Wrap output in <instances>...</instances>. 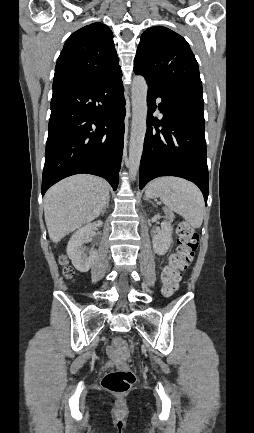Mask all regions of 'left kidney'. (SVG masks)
Returning <instances> with one entry per match:
<instances>
[{
    "instance_id": "1",
    "label": "left kidney",
    "mask_w": 254,
    "mask_h": 433,
    "mask_svg": "<svg viewBox=\"0 0 254 433\" xmlns=\"http://www.w3.org/2000/svg\"><path fill=\"white\" fill-rule=\"evenodd\" d=\"M172 230L170 222L164 221L161 223V231L152 240L153 249L156 254L164 255L168 251L172 243Z\"/></svg>"
}]
</instances>
